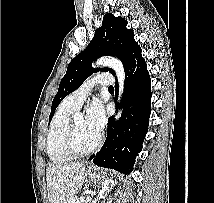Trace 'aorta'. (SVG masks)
I'll list each match as a JSON object with an SVG mask.
<instances>
[{
    "label": "aorta",
    "instance_id": "1",
    "mask_svg": "<svg viewBox=\"0 0 214 203\" xmlns=\"http://www.w3.org/2000/svg\"><path fill=\"white\" fill-rule=\"evenodd\" d=\"M96 66H106L109 68H112L118 78V83H119V96H118V101H120V98L123 94L124 90V81H125V71L122 62L114 57L110 56H105L101 57L95 62ZM121 116V111L119 110L117 115L115 116V119L118 120L119 117Z\"/></svg>",
    "mask_w": 214,
    "mask_h": 203
}]
</instances>
